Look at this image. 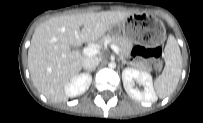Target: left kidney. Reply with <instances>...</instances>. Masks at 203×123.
I'll return each instance as SVG.
<instances>
[{
	"instance_id": "5707ae66",
	"label": "left kidney",
	"mask_w": 203,
	"mask_h": 123,
	"mask_svg": "<svg viewBox=\"0 0 203 123\" xmlns=\"http://www.w3.org/2000/svg\"><path fill=\"white\" fill-rule=\"evenodd\" d=\"M122 81L125 91L132 99L146 103L157 101L152 76L149 73L134 68H125L122 72ZM134 81L143 86L144 90L135 89Z\"/></svg>"
}]
</instances>
